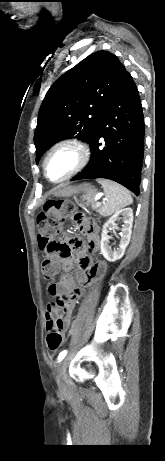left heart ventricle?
Instances as JSON below:
<instances>
[{"mask_svg":"<svg viewBox=\"0 0 165 461\" xmlns=\"http://www.w3.org/2000/svg\"><path fill=\"white\" fill-rule=\"evenodd\" d=\"M75 162V155L68 149L58 150L47 162V173L52 180L64 176Z\"/></svg>","mask_w":165,"mask_h":461,"instance_id":"left-heart-ventricle-1","label":"left heart ventricle"}]
</instances>
